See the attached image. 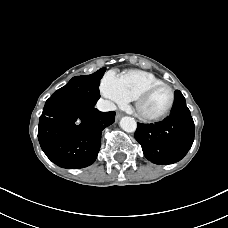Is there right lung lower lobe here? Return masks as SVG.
Returning <instances> with one entry per match:
<instances>
[{"instance_id": "1", "label": "right lung lower lobe", "mask_w": 228, "mask_h": 228, "mask_svg": "<svg viewBox=\"0 0 228 228\" xmlns=\"http://www.w3.org/2000/svg\"><path fill=\"white\" fill-rule=\"evenodd\" d=\"M115 112H101L72 102L49 98L40 116L38 139L56 165L77 169L91 165L100 149L101 134Z\"/></svg>"}]
</instances>
